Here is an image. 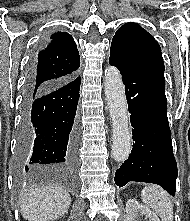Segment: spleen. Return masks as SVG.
<instances>
[{"mask_svg":"<svg viewBox=\"0 0 190 221\" xmlns=\"http://www.w3.org/2000/svg\"><path fill=\"white\" fill-rule=\"evenodd\" d=\"M141 199L162 221H173V204L165 190L159 186H146L141 191Z\"/></svg>","mask_w":190,"mask_h":221,"instance_id":"obj_1","label":"spleen"}]
</instances>
